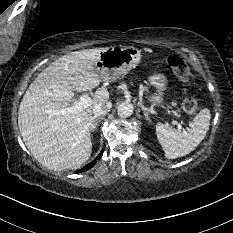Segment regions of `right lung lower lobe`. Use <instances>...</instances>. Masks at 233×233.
I'll use <instances>...</instances> for the list:
<instances>
[{
    "label": "right lung lower lobe",
    "instance_id": "obj_1",
    "mask_svg": "<svg viewBox=\"0 0 233 233\" xmlns=\"http://www.w3.org/2000/svg\"><path fill=\"white\" fill-rule=\"evenodd\" d=\"M102 154H103V150L100 152V154L96 157L95 160H93L91 163L85 165L82 169H80V170L77 171V172L86 171V170H88L90 167H92L93 165H95V163L97 162L96 160H99V159L101 158Z\"/></svg>",
    "mask_w": 233,
    "mask_h": 233
}]
</instances>
